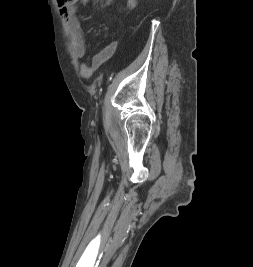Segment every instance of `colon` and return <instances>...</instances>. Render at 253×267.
<instances>
[{
  "instance_id": "5ec220e1",
  "label": "colon",
  "mask_w": 253,
  "mask_h": 267,
  "mask_svg": "<svg viewBox=\"0 0 253 267\" xmlns=\"http://www.w3.org/2000/svg\"><path fill=\"white\" fill-rule=\"evenodd\" d=\"M78 0H58L60 7H70L73 6ZM129 6H133L134 0H128Z\"/></svg>"
}]
</instances>
